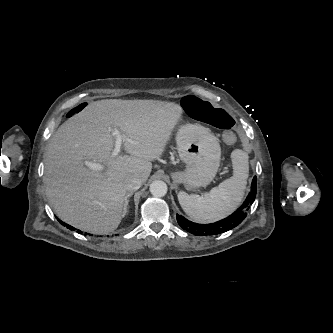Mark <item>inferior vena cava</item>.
I'll return each mask as SVG.
<instances>
[{
  "mask_svg": "<svg viewBox=\"0 0 333 333\" xmlns=\"http://www.w3.org/2000/svg\"><path fill=\"white\" fill-rule=\"evenodd\" d=\"M124 185H125V188L127 191L133 192V191L138 190L141 187L142 181H141V179H139L137 177H128L125 180Z\"/></svg>",
  "mask_w": 333,
  "mask_h": 333,
  "instance_id": "inferior-vena-cava-1",
  "label": "inferior vena cava"
}]
</instances>
